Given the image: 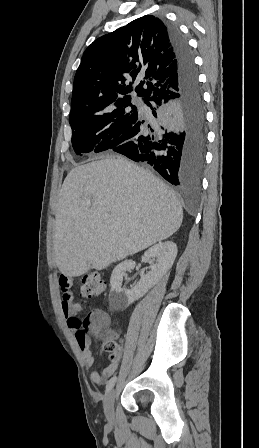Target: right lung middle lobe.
I'll return each mask as SVG.
<instances>
[{
    "mask_svg": "<svg viewBox=\"0 0 259 448\" xmlns=\"http://www.w3.org/2000/svg\"><path fill=\"white\" fill-rule=\"evenodd\" d=\"M138 116L135 105L70 114L74 151L80 155L116 147L121 135L137 121Z\"/></svg>",
    "mask_w": 259,
    "mask_h": 448,
    "instance_id": "right-lung-middle-lobe-1",
    "label": "right lung middle lobe"
}]
</instances>
